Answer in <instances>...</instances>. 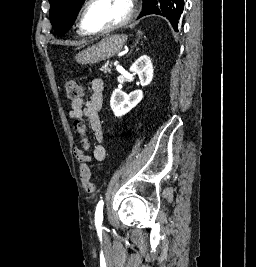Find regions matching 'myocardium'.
Here are the masks:
<instances>
[{"label":"myocardium","instance_id":"f54148a6","mask_svg":"<svg viewBox=\"0 0 256 267\" xmlns=\"http://www.w3.org/2000/svg\"><path fill=\"white\" fill-rule=\"evenodd\" d=\"M95 1H98V0H89L88 2H86L84 7L79 11V14H78L79 27L83 31V33H85L86 35L99 36V35L108 34L112 31L117 30V29L125 26L126 24H128L130 22L131 18L133 17L134 8H133V5L131 3H129L128 0H114V1L122 4L126 8L127 14H126L125 18L123 20L117 22L116 24L110 26L109 28H106L103 30H91L85 24L84 13H85L86 8Z\"/></svg>","mask_w":256,"mask_h":267}]
</instances>
